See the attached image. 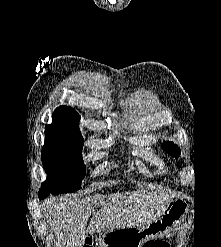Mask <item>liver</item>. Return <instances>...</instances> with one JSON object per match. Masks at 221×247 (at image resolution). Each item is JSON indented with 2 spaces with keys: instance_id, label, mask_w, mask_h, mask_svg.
<instances>
[{
  "instance_id": "obj_1",
  "label": "liver",
  "mask_w": 221,
  "mask_h": 247,
  "mask_svg": "<svg viewBox=\"0 0 221 247\" xmlns=\"http://www.w3.org/2000/svg\"><path fill=\"white\" fill-rule=\"evenodd\" d=\"M172 198L167 193L147 191L98 194L83 199L50 197L45 200L42 211L54 232V247H82L86 231L89 234L106 233L150 224ZM95 207L100 209L93 212Z\"/></svg>"
}]
</instances>
